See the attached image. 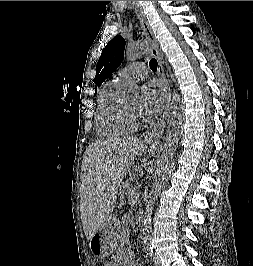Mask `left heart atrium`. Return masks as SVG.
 <instances>
[{
  "label": "left heart atrium",
  "instance_id": "39dd6f15",
  "mask_svg": "<svg viewBox=\"0 0 253 266\" xmlns=\"http://www.w3.org/2000/svg\"><path fill=\"white\" fill-rule=\"evenodd\" d=\"M166 103V94L162 86L155 82L143 86L139 101L140 113L148 118L161 112Z\"/></svg>",
  "mask_w": 253,
  "mask_h": 266
}]
</instances>
